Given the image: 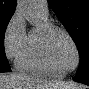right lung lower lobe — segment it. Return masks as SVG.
<instances>
[{"mask_svg": "<svg viewBox=\"0 0 89 89\" xmlns=\"http://www.w3.org/2000/svg\"><path fill=\"white\" fill-rule=\"evenodd\" d=\"M11 69L8 67H5L4 69H0V72H10Z\"/></svg>", "mask_w": 89, "mask_h": 89, "instance_id": "1", "label": "right lung lower lobe"}]
</instances>
